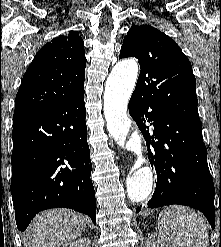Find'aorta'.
Listing matches in <instances>:
<instances>
[{"mask_svg": "<svg viewBox=\"0 0 221 247\" xmlns=\"http://www.w3.org/2000/svg\"><path fill=\"white\" fill-rule=\"evenodd\" d=\"M138 76L134 60L118 62L107 78L104 91V115L107 128L119 146L126 145L131 121L126 116L129 98ZM153 173L149 166L138 168L126 180L127 194L132 202H142L151 193Z\"/></svg>", "mask_w": 221, "mask_h": 247, "instance_id": "obj_1", "label": "aorta"}]
</instances>
